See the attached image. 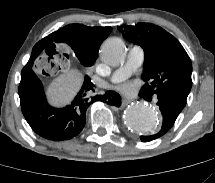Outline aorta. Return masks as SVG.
Listing matches in <instances>:
<instances>
[{
    "mask_svg": "<svg viewBox=\"0 0 215 183\" xmlns=\"http://www.w3.org/2000/svg\"><path fill=\"white\" fill-rule=\"evenodd\" d=\"M100 55L107 64L117 66L124 62L125 44L120 38H109L102 44ZM123 117L129 129L143 134L155 132L160 125L158 113L151 106L143 103L130 105L125 110Z\"/></svg>",
    "mask_w": 215,
    "mask_h": 183,
    "instance_id": "762f6f07",
    "label": "aorta"
}]
</instances>
